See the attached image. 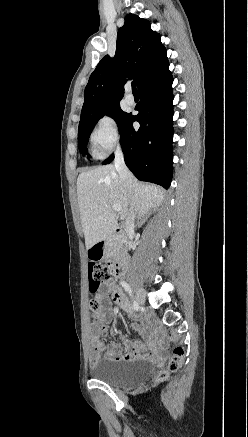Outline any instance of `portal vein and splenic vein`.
I'll return each instance as SVG.
<instances>
[{
  "mask_svg": "<svg viewBox=\"0 0 248 437\" xmlns=\"http://www.w3.org/2000/svg\"><path fill=\"white\" fill-rule=\"evenodd\" d=\"M112 208L116 212H121L122 211V207L120 205H118V204H113Z\"/></svg>",
  "mask_w": 248,
  "mask_h": 437,
  "instance_id": "18ae733b",
  "label": "portal vein and splenic vein"
}]
</instances>
